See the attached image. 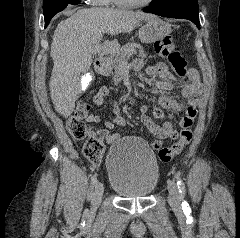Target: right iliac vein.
I'll use <instances>...</instances> for the list:
<instances>
[{"label": "right iliac vein", "instance_id": "1", "mask_svg": "<svg viewBox=\"0 0 240 238\" xmlns=\"http://www.w3.org/2000/svg\"><path fill=\"white\" fill-rule=\"evenodd\" d=\"M104 192V185L101 182H97L95 185L94 196L92 199V209L96 210L98 205L101 202L102 196Z\"/></svg>", "mask_w": 240, "mask_h": 238}]
</instances>
